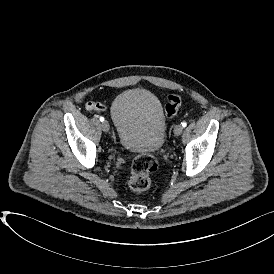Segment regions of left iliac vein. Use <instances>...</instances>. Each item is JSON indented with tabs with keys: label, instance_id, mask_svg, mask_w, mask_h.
I'll list each match as a JSON object with an SVG mask.
<instances>
[{
	"label": "left iliac vein",
	"instance_id": "left-iliac-vein-1",
	"mask_svg": "<svg viewBox=\"0 0 274 274\" xmlns=\"http://www.w3.org/2000/svg\"><path fill=\"white\" fill-rule=\"evenodd\" d=\"M182 131H183V126L182 125L178 124L174 127V134L175 135H177V136L180 135L182 133Z\"/></svg>",
	"mask_w": 274,
	"mask_h": 274
}]
</instances>
